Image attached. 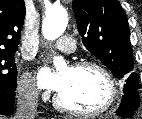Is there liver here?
<instances>
[{
  "instance_id": "liver-1",
  "label": "liver",
  "mask_w": 142,
  "mask_h": 119,
  "mask_svg": "<svg viewBox=\"0 0 142 119\" xmlns=\"http://www.w3.org/2000/svg\"><path fill=\"white\" fill-rule=\"evenodd\" d=\"M0 119H4V118L0 116Z\"/></svg>"
}]
</instances>
